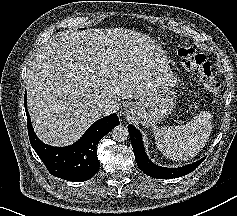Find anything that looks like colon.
I'll return each mask as SVG.
<instances>
[{"label": "colon", "instance_id": "5ec220e1", "mask_svg": "<svg viewBox=\"0 0 237 216\" xmlns=\"http://www.w3.org/2000/svg\"><path fill=\"white\" fill-rule=\"evenodd\" d=\"M178 55L185 68L199 73L208 85L218 88V83L212 76L211 65L205 56L197 54L194 48L187 45L179 47Z\"/></svg>", "mask_w": 237, "mask_h": 216}]
</instances>
